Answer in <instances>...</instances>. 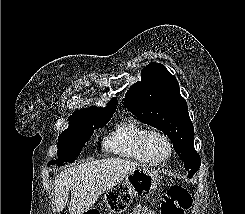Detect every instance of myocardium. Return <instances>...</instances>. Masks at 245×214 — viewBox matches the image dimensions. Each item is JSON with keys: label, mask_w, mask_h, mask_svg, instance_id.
<instances>
[{"label": "myocardium", "mask_w": 245, "mask_h": 214, "mask_svg": "<svg viewBox=\"0 0 245 214\" xmlns=\"http://www.w3.org/2000/svg\"><path fill=\"white\" fill-rule=\"evenodd\" d=\"M152 136H159L161 137L167 144L168 147V154L165 158L161 159V160H153L149 157L148 151H147V145H148V141ZM141 151L143 156L145 157L146 161L150 164V165H160L165 163L166 161H168L170 159V157L173 154V144L171 139L168 137L167 134H165L162 131L159 130H148L142 137L141 139Z\"/></svg>", "instance_id": "obj_1"}]
</instances>
